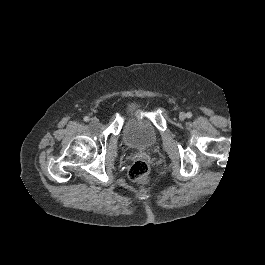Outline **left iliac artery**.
I'll return each instance as SVG.
<instances>
[{"label": "left iliac artery", "instance_id": "left-iliac-artery-1", "mask_svg": "<svg viewBox=\"0 0 265 265\" xmlns=\"http://www.w3.org/2000/svg\"><path fill=\"white\" fill-rule=\"evenodd\" d=\"M186 116H187V118H191V117H192V113H191V112H188V113L186 114Z\"/></svg>", "mask_w": 265, "mask_h": 265}]
</instances>
